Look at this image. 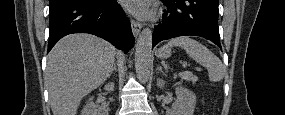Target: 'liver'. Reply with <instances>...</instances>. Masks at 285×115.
<instances>
[{"label":"liver","mask_w":285,"mask_h":115,"mask_svg":"<svg viewBox=\"0 0 285 115\" xmlns=\"http://www.w3.org/2000/svg\"><path fill=\"white\" fill-rule=\"evenodd\" d=\"M115 48L89 34L62 38L47 57L45 82L53 115H76L81 100L109 77Z\"/></svg>","instance_id":"6515ba94"}]
</instances>
